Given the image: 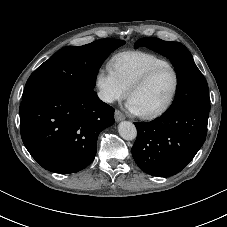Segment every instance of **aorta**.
<instances>
[{
    "label": "aorta",
    "mask_w": 227,
    "mask_h": 227,
    "mask_svg": "<svg viewBox=\"0 0 227 227\" xmlns=\"http://www.w3.org/2000/svg\"><path fill=\"white\" fill-rule=\"evenodd\" d=\"M119 135L125 140H134L137 136V129L132 122L122 121L118 126Z\"/></svg>",
    "instance_id": "762f6f07"
}]
</instances>
